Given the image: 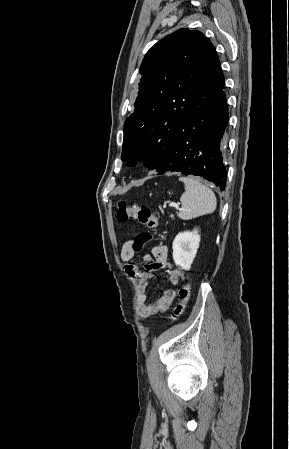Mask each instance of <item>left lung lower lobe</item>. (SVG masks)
<instances>
[{
    "mask_svg": "<svg viewBox=\"0 0 289 449\" xmlns=\"http://www.w3.org/2000/svg\"><path fill=\"white\" fill-rule=\"evenodd\" d=\"M225 81L216 57L198 89L190 111L174 128L167 154L156 170L202 177L220 190L226 186L224 166L228 108Z\"/></svg>",
    "mask_w": 289,
    "mask_h": 449,
    "instance_id": "1",
    "label": "left lung lower lobe"
}]
</instances>
